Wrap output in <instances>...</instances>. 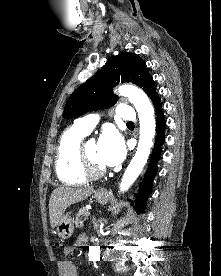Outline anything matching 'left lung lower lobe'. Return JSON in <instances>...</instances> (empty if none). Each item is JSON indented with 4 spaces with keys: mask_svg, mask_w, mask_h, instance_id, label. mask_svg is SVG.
Returning <instances> with one entry per match:
<instances>
[{
    "mask_svg": "<svg viewBox=\"0 0 221 276\" xmlns=\"http://www.w3.org/2000/svg\"><path fill=\"white\" fill-rule=\"evenodd\" d=\"M152 102L154 105V108L156 110V133L157 136L155 138V146L153 149V153L151 155V161L148 164L147 172L144 175V178L142 180V183L139 185V191L137 194H134L136 196L135 199V208L139 213H144L148 196L151 193L152 189V183L157 171V162L160 159L161 156V145L164 142L165 139V126L166 121L164 117V113L162 111V104L160 101V98L158 97V94L152 98Z\"/></svg>",
    "mask_w": 221,
    "mask_h": 276,
    "instance_id": "0a47b994",
    "label": "left lung lower lobe"
}]
</instances>
